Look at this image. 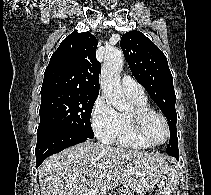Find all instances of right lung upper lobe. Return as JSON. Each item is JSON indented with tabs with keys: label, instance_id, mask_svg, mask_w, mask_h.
<instances>
[{
	"label": "right lung upper lobe",
	"instance_id": "right-lung-upper-lobe-1",
	"mask_svg": "<svg viewBox=\"0 0 211 195\" xmlns=\"http://www.w3.org/2000/svg\"><path fill=\"white\" fill-rule=\"evenodd\" d=\"M97 44L90 32L67 36L51 56L41 93L63 90L98 95L101 64L95 56Z\"/></svg>",
	"mask_w": 211,
	"mask_h": 195
}]
</instances>
